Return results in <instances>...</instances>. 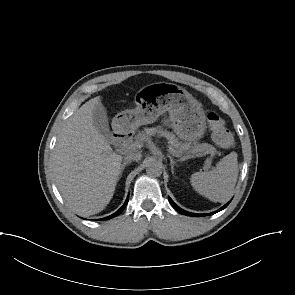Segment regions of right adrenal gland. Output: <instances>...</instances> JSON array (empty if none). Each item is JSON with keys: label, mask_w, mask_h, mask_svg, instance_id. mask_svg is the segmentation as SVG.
<instances>
[{"label": "right adrenal gland", "mask_w": 295, "mask_h": 295, "mask_svg": "<svg viewBox=\"0 0 295 295\" xmlns=\"http://www.w3.org/2000/svg\"><path fill=\"white\" fill-rule=\"evenodd\" d=\"M129 163H130L129 161H124L123 164L121 165L118 180L122 177V173H123V171L125 169V166L128 165Z\"/></svg>", "instance_id": "1"}]
</instances>
